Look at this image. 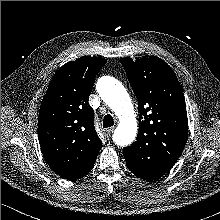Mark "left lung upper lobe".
<instances>
[{
	"instance_id": "obj_1",
	"label": "left lung upper lobe",
	"mask_w": 220,
	"mask_h": 220,
	"mask_svg": "<svg viewBox=\"0 0 220 220\" xmlns=\"http://www.w3.org/2000/svg\"><path fill=\"white\" fill-rule=\"evenodd\" d=\"M120 63L137 97L140 120L136 141L123 152L137 166L169 171L188 137L181 85L171 67L156 56L122 58Z\"/></svg>"
}]
</instances>
